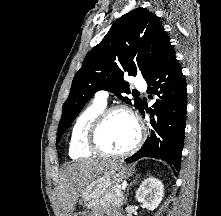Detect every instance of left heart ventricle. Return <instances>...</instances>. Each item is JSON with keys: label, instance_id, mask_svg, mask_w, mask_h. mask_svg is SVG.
Segmentation results:
<instances>
[{"label": "left heart ventricle", "instance_id": "1", "mask_svg": "<svg viewBox=\"0 0 221 216\" xmlns=\"http://www.w3.org/2000/svg\"><path fill=\"white\" fill-rule=\"evenodd\" d=\"M137 136L132 119L123 112L111 115L104 123L100 134V144L110 152H120L130 147Z\"/></svg>", "mask_w": 221, "mask_h": 216}]
</instances>
